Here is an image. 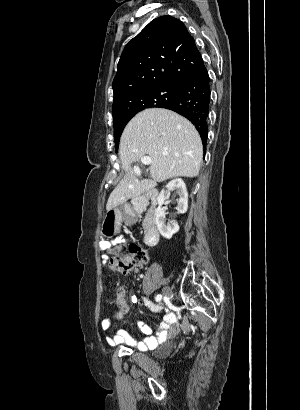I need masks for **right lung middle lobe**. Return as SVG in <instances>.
<instances>
[{
    "label": "right lung middle lobe",
    "mask_w": 300,
    "mask_h": 410,
    "mask_svg": "<svg viewBox=\"0 0 300 410\" xmlns=\"http://www.w3.org/2000/svg\"><path fill=\"white\" fill-rule=\"evenodd\" d=\"M179 89L180 86H165L137 93L129 105L131 112L113 118L116 150L124 127L135 114L146 108L161 107L163 104L169 103Z\"/></svg>",
    "instance_id": "right-lung-middle-lobe-1"
}]
</instances>
